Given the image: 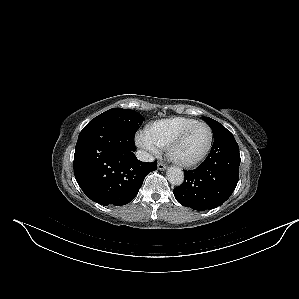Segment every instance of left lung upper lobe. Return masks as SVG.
Masks as SVG:
<instances>
[{
  "instance_id": "1",
  "label": "left lung upper lobe",
  "mask_w": 299,
  "mask_h": 299,
  "mask_svg": "<svg viewBox=\"0 0 299 299\" xmlns=\"http://www.w3.org/2000/svg\"><path fill=\"white\" fill-rule=\"evenodd\" d=\"M207 123L208 125L211 127L212 131H213V135H216L218 133H220L221 131L226 130V128L220 124L219 122L209 118V117H202Z\"/></svg>"
}]
</instances>
